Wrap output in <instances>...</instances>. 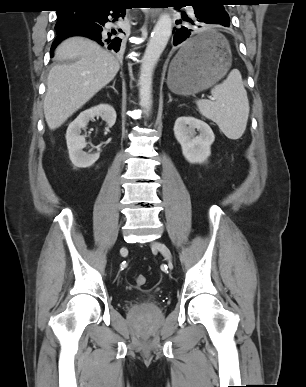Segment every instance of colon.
Masks as SVG:
<instances>
[{"mask_svg": "<svg viewBox=\"0 0 306 387\" xmlns=\"http://www.w3.org/2000/svg\"><path fill=\"white\" fill-rule=\"evenodd\" d=\"M134 283L137 287H142L146 283V278L144 275L139 274L134 277Z\"/></svg>", "mask_w": 306, "mask_h": 387, "instance_id": "5ec220e1", "label": "colon"}]
</instances>
